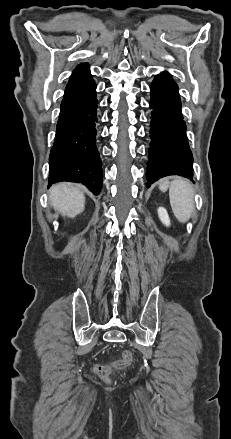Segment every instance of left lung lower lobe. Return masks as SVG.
Returning <instances> with one entry per match:
<instances>
[{"mask_svg":"<svg viewBox=\"0 0 231 439\" xmlns=\"http://www.w3.org/2000/svg\"><path fill=\"white\" fill-rule=\"evenodd\" d=\"M150 90L152 112L147 187L168 175L192 180L193 157L187 141L178 85L168 72H163L155 77Z\"/></svg>","mask_w":231,"mask_h":439,"instance_id":"1","label":"left lung lower lobe"}]
</instances>
